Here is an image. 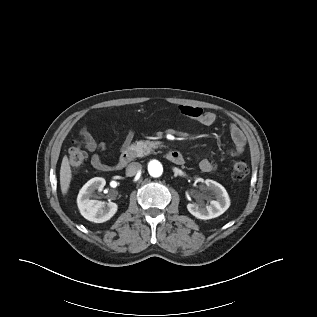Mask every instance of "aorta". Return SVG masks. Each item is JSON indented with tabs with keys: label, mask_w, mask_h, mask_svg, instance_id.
<instances>
[{
	"label": "aorta",
	"mask_w": 317,
	"mask_h": 317,
	"mask_svg": "<svg viewBox=\"0 0 317 317\" xmlns=\"http://www.w3.org/2000/svg\"><path fill=\"white\" fill-rule=\"evenodd\" d=\"M149 174L153 177H160L163 173V167L157 160H152L148 165Z\"/></svg>",
	"instance_id": "obj_1"
}]
</instances>
